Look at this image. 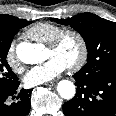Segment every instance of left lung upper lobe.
Listing matches in <instances>:
<instances>
[{"label": "left lung upper lobe", "instance_id": "left-lung-upper-lobe-1", "mask_svg": "<svg viewBox=\"0 0 116 116\" xmlns=\"http://www.w3.org/2000/svg\"><path fill=\"white\" fill-rule=\"evenodd\" d=\"M70 25L81 34L87 47V63L78 72L87 78L116 73V23L92 13H81L68 19L52 18Z\"/></svg>", "mask_w": 116, "mask_h": 116}]
</instances>
